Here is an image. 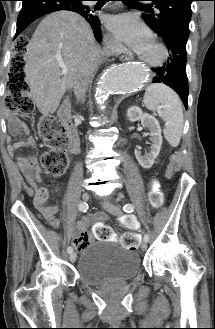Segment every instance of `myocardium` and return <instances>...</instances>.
I'll list each match as a JSON object with an SVG mask.
<instances>
[{
	"mask_svg": "<svg viewBox=\"0 0 215 329\" xmlns=\"http://www.w3.org/2000/svg\"><path fill=\"white\" fill-rule=\"evenodd\" d=\"M152 45L157 50L158 54L156 57L146 58L140 54L138 58L140 61H142L144 64H146L149 67H160L167 61L169 57V50L165 44L159 41H154Z\"/></svg>",
	"mask_w": 215,
	"mask_h": 329,
	"instance_id": "f54148a6",
	"label": "myocardium"
}]
</instances>
